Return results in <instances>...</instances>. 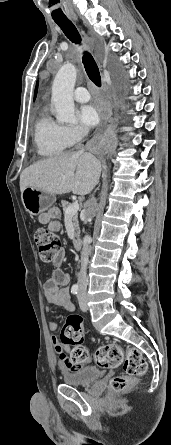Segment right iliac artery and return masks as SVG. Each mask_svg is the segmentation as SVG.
<instances>
[{"instance_id": "obj_1", "label": "right iliac artery", "mask_w": 171, "mask_h": 445, "mask_svg": "<svg viewBox=\"0 0 171 445\" xmlns=\"http://www.w3.org/2000/svg\"><path fill=\"white\" fill-rule=\"evenodd\" d=\"M71 293H73V294H77L78 293V285H73L71 287Z\"/></svg>"}]
</instances>
